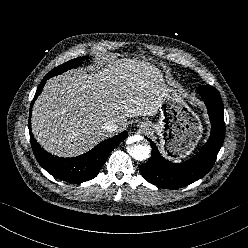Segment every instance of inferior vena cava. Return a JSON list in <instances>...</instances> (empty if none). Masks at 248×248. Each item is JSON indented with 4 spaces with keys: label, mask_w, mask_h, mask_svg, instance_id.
Here are the masks:
<instances>
[{
    "label": "inferior vena cava",
    "mask_w": 248,
    "mask_h": 248,
    "mask_svg": "<svg viewBox=\"0 0 248 248\" xmlns=\"http://www.w3.org/2000/svg\"><path fill=\"white\" fill-rule=\"evenodd\" d=\"M103 128L107 131V132H114L117 130L118 126L115 122L113 121H108L104 124Z\"/></svg>",
    "instance_id": "inferior-vena-cava-1"
}]
</instances>
